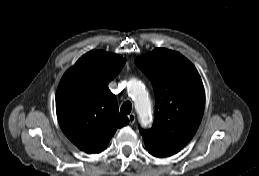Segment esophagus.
<instances>
[{"label": "esophagus", "instance_id": "esophagus-1", "mask_svg": "<svg viewBox=\"0 0 259 176\" xmlns=\"http://www.w3.org/2000/svg\"><path fill=\"white\" fill-rule=\"evenodd\" d=\"M128 119H129V123L130 124H134L135 123V120H136V116L134 113H131L128 115Z\"/></svg>", "mask_w": 259, "mask_h": 176}]
</instances>
